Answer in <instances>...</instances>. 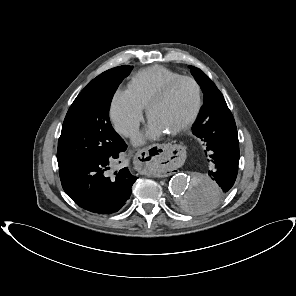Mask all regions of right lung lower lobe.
I'll list each match as a JSON object with an SVG mask.
<instances>
[{
	"label": "right lung lower lobe",
	"instance_id": "obj_1",
	"mask_svg": "<svg viewBox=\"0 0 296 296\" xmlns=\"http://www.w3.org/2000/svg\"><path fill=\"white\" fill-rule=\"evenodd\" d=\"M127 145L117 154L105 155L59 170L65 193L81 208L97 214H113L121 210L131 195L132 184L138 179L127 167L108 176L111 162L116 161ZM120 163V162H119Z\"/></svg>",
	"mask_w": 296,
	"mask_h": 296
}]
</instances>
